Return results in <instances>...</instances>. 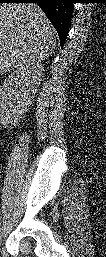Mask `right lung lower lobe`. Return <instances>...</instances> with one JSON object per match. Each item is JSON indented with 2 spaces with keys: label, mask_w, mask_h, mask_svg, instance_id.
Masks as SVG:
<instances>
[{
  "label": "right lung lower lobe",
  "mask_w": 106,
  "mask_h": 257,
  "mask_svg": "<svg viewBox=\"0 0 106 257\" xmlns=\"http://www.w3.org/2000/svg\"><path fill=\"white\" fill-rule=\"evenodd\" d=\"M1 3H37L56 29L63 47L72 17L75 0H0Z\"/></svg>",
  "instance_id": "obj_1"
}]
</instances>
